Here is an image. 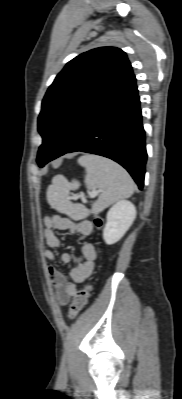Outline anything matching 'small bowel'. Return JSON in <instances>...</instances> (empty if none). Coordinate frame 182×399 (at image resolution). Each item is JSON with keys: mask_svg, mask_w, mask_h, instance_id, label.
<instances>
[{"mask_svg": "<svg viewBox=\"0 0 182 399\" xmlns=\"http://www.w3.org/2000/svg\"><path fill=\"white\" fill-rule=\"evenodd\" d=\"M44 223L43 236L48 248L44 250L43 256L47 261L48 276L58 303L66 305L76 294V285L91 275L97 258V250L94 244L84 243L81 247L83 260L71 269L69 277H67L56 268L55 263L59 260L63 264H68L72 261V255L62 252L57 259L53 250L62 246V241L57 233L67 232L89 236L93 232V224L88 220L73 221L62 215L47 216Z\"/></svg>", "mask_w": 182, "mask_h": 399, "instance_id": "1", "label": "small bowel"}]
</instances>
